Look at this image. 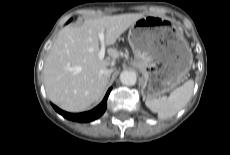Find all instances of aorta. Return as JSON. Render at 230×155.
Here are the masks:
<instances>
[{
  "label": "aorta",
  "instance_id": "aorta-1",
  "mask_svg": "<svg viewBox=\"0 0 230 155\" xmlns=\"http://www.w3.org/2000/svg\"><path fill=\"white\" fill-rule=\"evenodd\" d=\"M120 81L123 85L133 86L137 82L136 74L131 71H123L120 74Z\"/></svg>",
  "mask_w": 230,
  "mask_h": 155
}]
</instances>
